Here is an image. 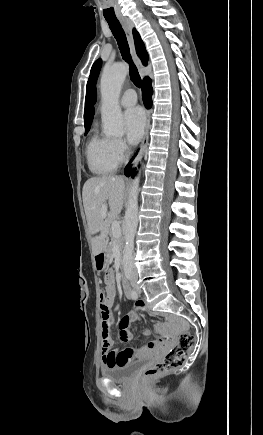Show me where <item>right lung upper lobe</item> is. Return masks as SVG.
<instances>
[{"label": "right lung upper lobe", "instance_id": "1", "mask_svg": "<svg viewBox=\"0 0 263 435\" xmlns=\"http://www.w3.org/2000/svg\"><path fill=\"white\" fill-rule=\"evenodd\" d=\"M133 36H134V40H135V47H136L137 55L141 58L143 64L147 65L148 54L146 52L144 43L141 40V37H140L139 33L135 29H133ZM95 101H96V93L94 95L93 104L95 103ZM90 107H91L90 108V112L88 111L87 108H85V110H84V124H85V127L87 126L88 115L89 114H90V116H91V114L93 115V107L92 106H90Z\"/></svg>", "mask_w": 263, "mask_h": 435}]
</instances>
